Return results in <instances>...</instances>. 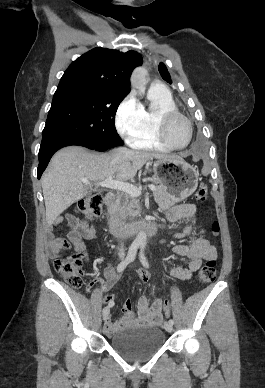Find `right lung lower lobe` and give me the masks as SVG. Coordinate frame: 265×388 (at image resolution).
Instances as JSON below:
<instances>
[{
	"mask_svg": "<svg viewBox=\"0 0 265 388\" xmlns=\"http://www.w3.org/2000/svg\"><path fill=\"white\" fill-rule=\"evenodd\" d=\"M69 145L83 146L97 151H105L108 149V148L96 147L88 143L87 141L76 137H59V138H55L47 142L41 143L39 154H38V157H39V165L37 168L38 179H40L52 155L60 148L69 146Z\"/></svg>",
	"mask_w": 265,
	"mask_h": 388,
	"instance_id": "obj_1",
	"label": "right lung lower lobe"
}]
</instances>
